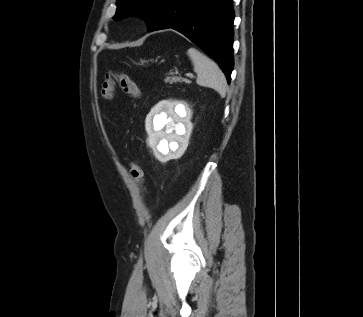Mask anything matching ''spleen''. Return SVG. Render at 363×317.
Returning <instances> with one entry per match:
<instances>
[{"instance_id": "3e777b00", "label": "spleen", "mask_w": 363, "mask_h": 317, "mask_svg": "<svg viewBox=\"0 0 363 317\" xmlns=\"http://www.w3.org/2000/svg\"><path fill=\"white\" fill-rule=\"evenodd\" d=\"M187 54L193 63L194 71L197 73V84L213 88L224 97L227 91V82L219 66L195 48L188 49Z\"/></svg>"}]
</instances>
